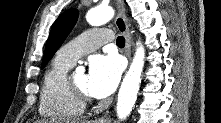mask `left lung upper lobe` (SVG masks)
<instances>
[{"label":"left lung upper lobe","instance_id":"1","mask_svg":"<svg viewBox=\"0 0 221 123\" xmlns=\"http://www.w3.org/2000/svg\"><path fill=\"white\" fill-rule=\"evenodd\" d=\"M78 10L73 8L62 13L54 22L46 42L44 58L41 68L43 69L60 48L70 31L78 20Z\"/></svg>","mask_w":221,"mask_h":123}]
</instances>
